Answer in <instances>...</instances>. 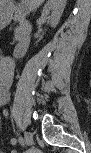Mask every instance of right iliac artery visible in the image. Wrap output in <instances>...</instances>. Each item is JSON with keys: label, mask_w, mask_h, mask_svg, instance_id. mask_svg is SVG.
Instances as JSON below:
<instances>
[{"label": "right iliac artery", "mask_w": 91, "mask_h": 153, "mask_svg": "<svg viewBox=\"0 0 91 153\" xmlns=\"http://www.w3.org/2000/svg\"><path fill=\"white\" fill-rule=\"evenodd\" d=\"M19 143H20L21 145H24V143H25L23 137H21V136L19 137Z\"/></svg>", "instance_id": "82829eb1"}]
</instances>
